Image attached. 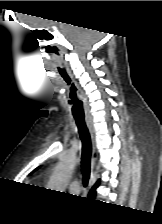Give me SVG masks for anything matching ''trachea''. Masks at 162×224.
<instances>
[{"label":"trachea","instance_id":"trachea-1","mask_svg":"<svg viewBox=\"0 0 162 224\" xmlns=\"http://www.w3.org/2000/svg\"><path fill=\"white\" fill-rule=\"evenodd\" d=\"M82 141L81 170L83 173V185L86 187L90 178L92 143L90 133L86 126L85 118L74 116Z\"/></svg>","mask_w":162,"mask_h":224}]
</instances>
